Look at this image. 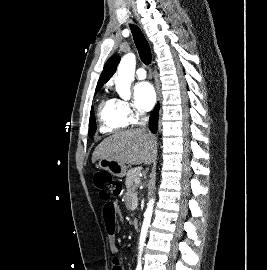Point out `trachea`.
<instances>
[{"label":"trachea","instance_id":"trachea-1","mask_svg":"<svg viewBox=\"0 0 267 270\" xmlns=\"http://www.w3.org/2000/svg\"><path fill=\"white\" fill-rule=\"evenodd\" d=\"M130 28H131L134 42L138 49L141 61L145 65H149L151 63L152 56H151V49H150L148 41L146 40L142 31L137 26L131 25Z\"/></svg>","mask_w":267,"mask_h":270}]
</instances>
